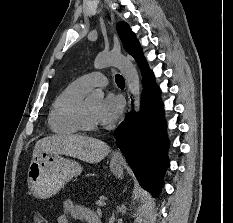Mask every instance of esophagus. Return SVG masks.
I'll use <instances>...</instances> for the list:
<instances>
[{
    "mask_svg": "<svg viewBox=\"0 0 233 223\" xmlns=\"http://www.w3.org/2000/svg\"><path fill=\"white\" fill-rule=\"evenodd\" d=\"M113 158H121V153L119 150H116L113 154Z\"/></svg>",
    "mask_w": 233,
    "mask_h": 223,
    "instance_id": "34e87169",
    "label": "esophagus"
}]
</instances>
